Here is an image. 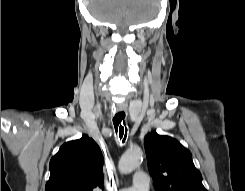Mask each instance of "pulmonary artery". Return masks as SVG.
Returning <instances> with one entry per match:
<instances>
[{
  "label": "pulmonary artery",
  "mask_w": 245,
  "mask_h": 191,
  "mask_svg": "<svg viewBox=\"0 0 245 191\" xmlns=\"http://www.w3.org/2000/svg\"><path fill=\"white\" fill-rule=\"evenodd\" d=\"M149 187V176L143 171H138L133 176L132 185L130 187L123 188L120 191H149Z\"/></svg>",
  "instance_id": "obj_1"
}]
</instances>
